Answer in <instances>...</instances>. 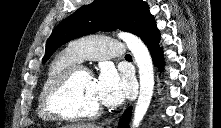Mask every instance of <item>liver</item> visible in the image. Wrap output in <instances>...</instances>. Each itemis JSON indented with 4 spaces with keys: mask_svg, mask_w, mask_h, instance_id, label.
<instances>
[{
    "mask_svg": "<svg viewBox=\"0 0 221 128\" xmlns=\"http://www.w3.org/2000/svg\"><path fill=\"white\" fill-rule=\"evenodd\" d=\"M64 128H97V127L92 124H71V125H66Z\"/></svg>",
    "mask_w": 221,
    "mask_h": 128,
    "instance_id": "1",
    "label": "liver"
}]
</instances>
